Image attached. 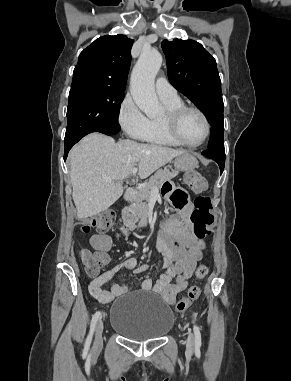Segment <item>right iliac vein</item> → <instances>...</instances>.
<instances>
[{"label":"right iliac vein","instance_id":"right-iliac-vein-1","mask_svg":"<svg viewBox=\"0 0 291 381\" xmlns=\"http://www.w3.org/2000/svg\"><path fill=\"white\" fill-rule=\"evenodd\" d=\"M103 329H104L103 321L99 320L97 325H96V330H95L94 347L96 349L101 347V345H102Z\"/></svg>","mask_w":291,"mask_h":381}]
</instances>
